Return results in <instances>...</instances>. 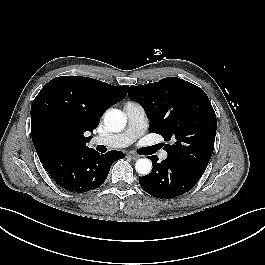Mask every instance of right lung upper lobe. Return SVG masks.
Returning <instances> with one entry per match:
<instances>
[{
	"instance_id": "cb5924a9",
	"label": "right lung upper lobe",
	"mask_w": 265,
	"mask_h": 265,
	"mask_svg": "<svg viewBox=\"0 0 265 265\" xmlns=\"http://www.w3.org/2000/svg\"><path fill=\"white\" fill-rule=\"evenodd\" d=\"M129 86H113L82 76H61L41 89L31 106V135L41 163L88 150L87 132L122 100Z\"/></svg>"
}]
</instances>
